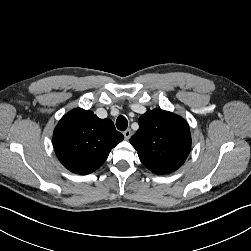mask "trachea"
Segmentation results:
<instances>
[{
	"label": "trachea",
	"mask_w": 251,
	"mask_h": 251,
	"mask_svg": "<svg viewBox=\"0 0 251 251\" xmlns=\"http://www.w3.org/2000/svg\"><path fill=\"white\" fill-rule=\"evenodd\" d=\"M127 126H128L127 119L123 115L118 116V118L116 120L117 129L120 131H124L127 129Z\"/></svg>",
	"instance_id": "obj_1"
}]
</instances>
